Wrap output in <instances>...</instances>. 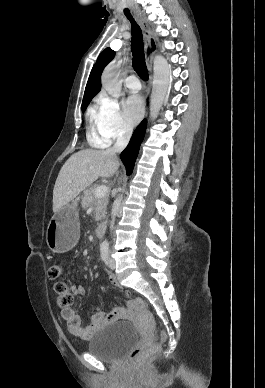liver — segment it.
Segmentation results:
<instances>
[{
	"label": "liver",
	"instance_id": "6515ba94",
	"mask_svg": "<svg viewBox=\"0 0 265 388\" xmlns=\"http://www.w3.org/2000/svg\"><path fill=\"white\" fill-rule=\"evenodd\" d=\"M93 166V170H90ZM119 160L109 150H81L62 166L53 190V212L72 202L98 178H110L119 168Z\"/></svg>",
	"mask_w": 265,
	"mask_h": 388
}]
</instances>
